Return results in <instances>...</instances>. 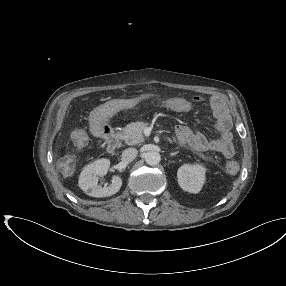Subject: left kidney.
Returning <instances> with one entry per match:
<instances>
[{"instance_id": "5707ae66", "label": "left kidney", "mask_w": 286, "mask_h": 286, "mask_svg": "<svg viewBox=\"0 0 286 286\" xmlns=\"http://www.w3.org/2000/svg\"><path fill=\"white\" fill-rule=\"evenodd\" d=\"M206 169L199 164H184L177 172L180 187L189 193H198L205 182Z\"/></svg>"}]
</instances>
